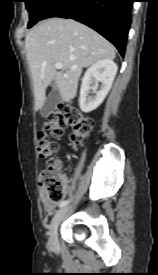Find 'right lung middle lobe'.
Masks as SVG:
<instances>
[{
    "mask_svg": "<svg viewBox=\"0 0 158 275\" xmlns=\"http://www.w3.org/2000/svg\"><path fill=\"white\" fill-rule=\"evenodd\" d=\"M56 2V0H25L29 12L28 28L40 21L45 12Z\"/></svg>",
    "mask_w": 158,
    "mask_h": 275,
    "instance_id": "obj_1",
    "label": "right lung middle lobe"
}]
</instances>
